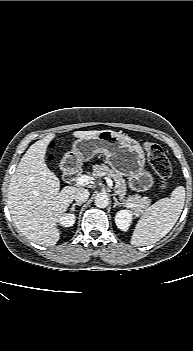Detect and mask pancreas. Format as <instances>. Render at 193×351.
<instances>
[{
  "label": "pancreas",
  "mask_w": 193,
  "mask_h": 351,
  "mask_svg": "<svg viewBox=\"0 0 193 351\" xmlns=\"http://www.w3.org/2000/svg\"><path fill=\"white\" fill-rule=\"evenodd\" d=\"M93 176L102 177L108 176L112 178L115 182L116 194L119 196V199L127 204H133L136 213L141 214L149 206L150 200L147 197H141L139 195L129 196L125 198L126 195V183L122 174L111 170L105 164L94 165L93 166Z\"/></svg>",
  "instance_id": "pancreas-1"
}]
</instances>
